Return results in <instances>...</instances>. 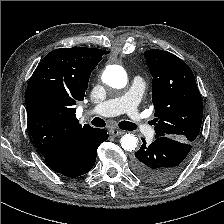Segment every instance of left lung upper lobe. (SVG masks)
Listing matches in <instances>:
<instances>
[{"instance_id": "obj_1", "label": "left lung upper lobe", "mask_w": 224, "mask_h": 224, "mask_svg": "<svg viewBox=\"0 0 224 224\" xmlns=\"http://www.w3.org/2000/svg\"><path fill=\"white\" fill-rule=\"evenodd\" d=\"M144 56L153 77L156 138L168 137L193 144L203 113L193 72L184 61L167 51L151 49Z\"/></svg>"}]
</instances>
